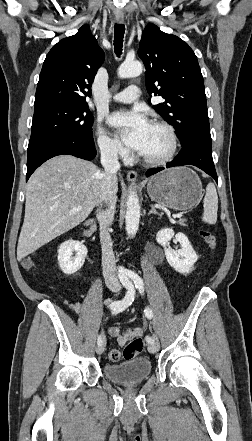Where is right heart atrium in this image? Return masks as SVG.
Instances as JSON below:
<instances>
[{"instance_id":"right-heart-atrium-1","label":"right heart atrium","mask_w":252,"mask_h":441,"mask_svg":"<svg viewBox=\"0 0 252 441\" xmlns=\"http://www.w3.org/2000/svg\"><path fill=\"white\" fill-rule=\"evenodd\" d=\"M96 142L100 151L107 157L113 159L128 157V150L106 130L101 120L97 122Z\"/></svg>"}]
</instances>
